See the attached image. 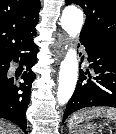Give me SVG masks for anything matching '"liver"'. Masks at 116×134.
Instances as JSON below:
<instances>
[{
	"instance_id": "obj_1",
	"label": "liver",
	"mask_w": 116,
	"mask_h": 134,
	"mask_svg": "<svg viewBox=\"0 0 116 134\" xmlns=\"http://www.w3.org/2000/svg\"><path fill=\"white\" fill-rule=\"evenodd\" d=\"M0 134H19L10 124L0 121Z\"/></svg>"
}]
</instances>
